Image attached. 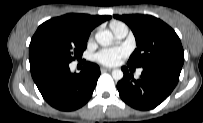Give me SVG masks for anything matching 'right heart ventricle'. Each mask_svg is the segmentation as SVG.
Segmentation results:
<instances>
[{"instance_id":"obj_1","label":"right heart ventricle","mask_w":203,"mask_h":123,"mask_svg":"<svg viewBox=\"0 0 203 123\" xmlns=\"http://www.w3.org/2000/svg\"><path fill=\"white\" fill-rule=\"evenodd\" d=\"M117 23H119V22L114 21V22L111 23V26H113V25H115V24H117Z\"/></svg>"}]
</instances>
